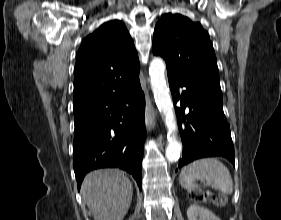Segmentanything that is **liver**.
Returning <instances> with one entry per match:
<instances>
[{"label":"liver","instance_id":"1","mask_svg":"<svg viewBox=\"0 0 281 220\" xmlns=\"http://www.w3.org/2000/svg\"><path fill=\"white\" fill-rule=\"evenodd\" d=\"M132 193L131 181L117 169L94 170L85 176L81 186L83 200L94 220H123Z\"/></svg>","mask_w":281,"mask_h":220}]
</instances>
